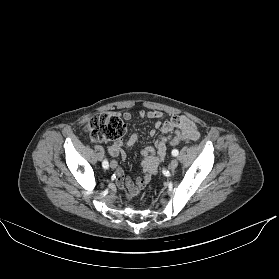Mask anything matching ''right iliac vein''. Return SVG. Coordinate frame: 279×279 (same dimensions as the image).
I'll list each match as a JSON object with an SVG mask.
<instances>
[{
  "instance_id": "1",
  "label": "right iliac vein",
  "mask_w": 279,
  "mask_h": 279,
  "mask_svg": "<svg viewBox=\"0 0 279 279\" xmlns=\"http://www.w3.org/2000/svg\"><path fill=\"white\" fill-rule=\"evenodd\" d=\"M110 167L111 168H115V167H117V162L116 161H114V160H112L111 162H110Z\"/></svg>"
}]
</instances>
